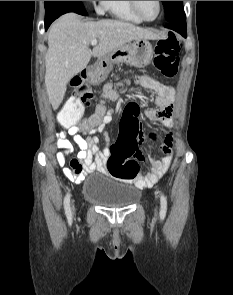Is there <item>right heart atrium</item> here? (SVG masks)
I'll return each mask as SVG.
<instances>
[{"mask_svg": "<svg viewBox=\"0 0 233 295\" xmlns=\"http://www.w3.org/2000/svg\"><path fill=\"white\" fill-rule=\"evenodd\" d=\"M95 10L99 13V14H103L106 11V3L107 1H92Z\"/></svg>", "mask_w": 233, "mask_h": 295, "instance_id": "right-heart-atrium-1", "label": "right heart atrium"}]
</instances>
